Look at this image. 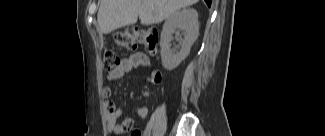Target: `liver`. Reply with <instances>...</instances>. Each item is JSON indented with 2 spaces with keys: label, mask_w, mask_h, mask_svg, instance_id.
Wrapping results in <instances>:
<instances>
[{
  "label": "liver",
  "mask_w": 325,
  "mask_h": 136,
  "mask_svg": "<svg viewBox=\"0 0 325 136\" xmlns=\"http://www.w3.org/2000/svg\"><path fill=\"white\" fill-rule=\"evenodd\" d=\"M198 0H101L97 15L100 31L109 34L141 20L143 25L162 22L181 8Z\"/></svg>",
  "instance_id": "liver-1"
}]
</instances>
